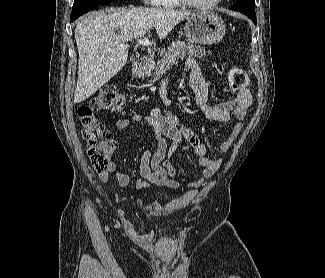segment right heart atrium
Masks as SVG:
<instances>
[{
  "instance_id": "d8ad5b80",
  "label": "right heart atrium",
  "mask_w": 325,
  "mask_h": 278,
  "mask_svg": "<svg viewBox=\"0 0 325 278\" xmlns=\"http://www.w3.org/2000/svg\"><path fill=\"white\" fill-rule=\"evenodd\" d=\"M142 1L149 4H158L160 0H142Z\"/></svg>"
}]
</instances>
